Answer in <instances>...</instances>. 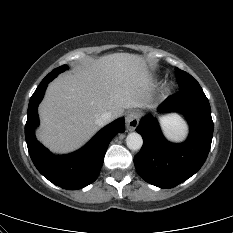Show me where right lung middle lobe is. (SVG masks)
<instances>
[{
  "label": "right lung middle lobe",
  "instance_id": "obj_1",
  "mask_svg": "<svg viewBox=\"0 0 233 233\" xmlns=\"http://www.w3.org/2000/svg\"><path fill=\"white\" fill-rule=\"evenodd\" d=\"M68 69L67 65H63L61 67H58L56 69H54L53 71H51L41 82V84L47 80L52 81L59 73L65 71Z\"/></svg>",
  "mask_w": 233,
  "mask_h": 233
}]
</instances>
